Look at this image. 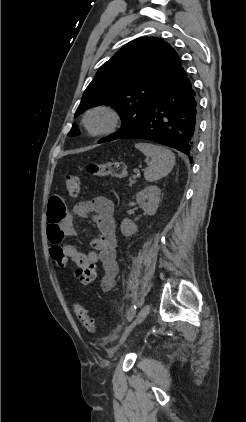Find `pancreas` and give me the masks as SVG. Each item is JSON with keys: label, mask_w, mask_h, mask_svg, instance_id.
Listing matches in <instances>:
<instances>
[{"label": "pancreas", "mask_w": 246, "mask_h": 422, "mask_svg": "<svg viewBox=\"0 0 246 422\" xmlns=\"http://www.w3.org/2000/svg\"><path fill=\"white\" fill-rule=\"evenodd\" d=\"M135 179L134 176L130 177L129 186H132L136 182Z\"/></svg>", "instance_id": "cf45deb5"}]
</instances>
